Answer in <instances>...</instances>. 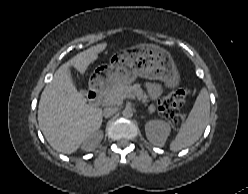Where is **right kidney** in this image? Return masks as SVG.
Instances as JSON below:
<instances>
[{
	"mask_svg": "<svg viewBox=\"0 0 248 194\" xmlns=\"http://www.w3.org/2000/svg\"><path fill=\"white\" fill-rule=\"evenodd\" d=\"M102 138H103L102 131L95 132L83 142L82 149L86 151H91L101 142Z\"/></svg>",
	"mask_w": 248,
	"mask_h": 194,
	"instance_id": "right-kidney-1",
	"label": "right kidney"
}]
</instances>
